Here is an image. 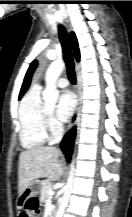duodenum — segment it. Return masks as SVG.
Returning a JSON list of instances; mask_svg holds the SVG:
<instances>
[{
  "label": "duodenum",
  "instance_id": "1",
  "mask_svg": "<svg viewBox=\"0 0 132 217\" xmlns=\"http://www.w3.org/2000/svg\"><path fill=\"white\" fill-rule=\"evenodd\" d=\"M49 217H54V214H53V213H51Z\"/></svg>",
  "mask_w": 132,
  "mask_h": 217
}]
</instances>
